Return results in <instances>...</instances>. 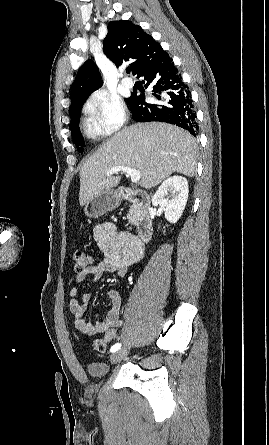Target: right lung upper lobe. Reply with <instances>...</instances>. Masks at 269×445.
<instances>
[{"mask_svg": "<svg viewBox=\"0 0 269 445\" xmlns=\"http://www.w3.org/2000/svg\"><path fill=\"white\" fill-rule=\"evenodd\" d=\"M103 51L117 66L129 63L133 75H139L147 65L167 54L158 42L129 20L109 23L108 34L103 41ZM101 85L96 64L92 60H87L74 80L70 108L85 102L87 97Z\"/></svg>", "mask_w": 269, "mask_h": 445, "instance_id": "cb5924a9", "label": "right lung upper lobe"}]
</instances>
